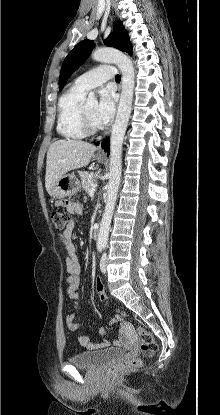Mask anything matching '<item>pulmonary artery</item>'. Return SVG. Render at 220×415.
Returning <instances> with one entry per match:
<instances>
[{
  "label": "pulmonary artery",
  "instance_id": "obj_1",
  "mask_svg": "<svg viewBox=\"0 0 220 415\" xmlns=\"http://www.w3.org/2000/svg\"><path fill=\"white\" fill-rule=\"evenodd\" d=\"M115 74L116 69L113 66L102 65L79 76L74 81V87L84 92H87L112 79Z\"/></svg>",
  "mask_w": 220,
  "mask_h": 415
}]
</instances>
